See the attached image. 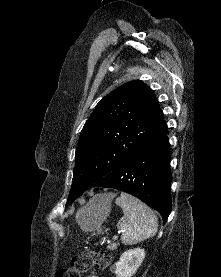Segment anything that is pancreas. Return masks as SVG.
<instances>
[{
    "label": "pancreas",
    "instance_id": "cf45deb5",
    "mask_svg": "<svg viewBox=\"0 0 221 277\" xmlns=\"http://www.w3.org/2000/svg\"><path fill=\"white\" fill-rule=\"evenodd\" d=\"M116 247H117V245L115 244V245L110 246L109 249L113 250V249H115Z\"/></svg>",
    "mask_w": 221,
    "mask_h": 277
}]
</instances>
